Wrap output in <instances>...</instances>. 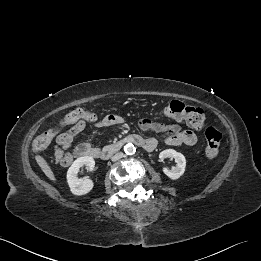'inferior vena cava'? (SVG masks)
I'll return each instance as SVG.
<instances>
[{
    "instance_id": "obj_1",
    "label": "inferior vena cava",
    "mask_w": 261,
    "mask_h": 261,
    "mask_svg": "<svg viewBox=\"0 0 261 261\" xmlns=\"http://www.w3.org/2000/svg\"><path fill=\"white\" fill-rule=\"evenodd\" d=\"M122 157H123V153L122 152H118V153H116L115 155L112 156L111 160L113 162H115V161H118L119 159H121Z\"/></svg>"
}]
</instances>
